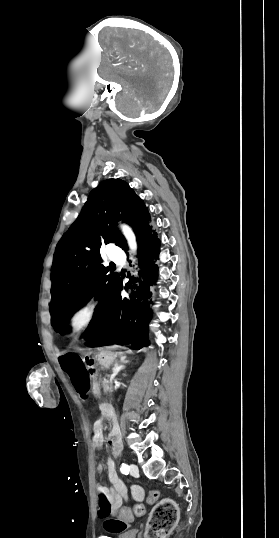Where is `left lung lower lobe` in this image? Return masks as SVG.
Returning <instances> with one entry per match:
<instances>
[{
	"label": "left lung lower lobe",
	"instance_id": "left-lung-lower-lobe-1",
	"mask_svg": "<svg viewBox=\"0 0 279 538\" xmlns=\"http://www.w3.org/2000/svg\"><path fill=\"white\" fill-rule=\"evenodd\" d=\"M138 243L141 278L130 280L125 285L126 290L136 288V292L130 300L122 299L120 292L124 287L122 280L120 281L114 295L115 308L105 324L95 334L83 336L86 339L85 345L88 347L130 344L135 349H140L149 344L147 332L152 317V310L149 306L151 302H148L151 296L149 286L157 281L156 261L159 259L160 252V240L152 225L143 231ZM135 283L137 285L132 286Z\"/></svg>",
	"mask_w": 279,
	"mask_h": 538
}]
</instances>
